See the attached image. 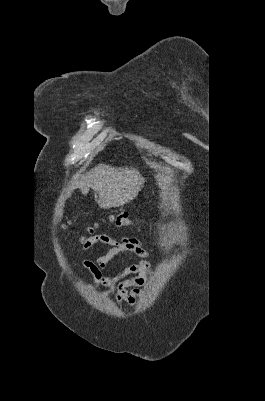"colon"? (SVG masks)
Instances as JSON below:
<instances>
[{
	"label": "colon",
	"instance_id": "colon-1",
	"mask_svg": "<svg viewBox=\"0 0 265 401\" xmlns=\"http://www.w3.org/2000/svg\"><path fill=\"white\" fill-rule=\"evenodd\" d=\"M109 220L113 223H115L118 226H130L133 225V221L129 218V215L127 212H118L115 214H112L109 216ZM96 228V225H90L87 228L88 233H92L94 229ZM87 242V238L81 237L79 239V243L83 247Z\"/></svg>",
	"mask_w": 265,
	"mask_h": 401
}]
</instances>
